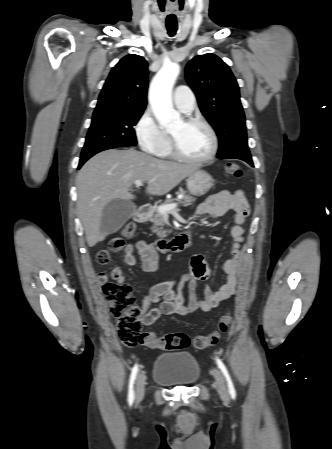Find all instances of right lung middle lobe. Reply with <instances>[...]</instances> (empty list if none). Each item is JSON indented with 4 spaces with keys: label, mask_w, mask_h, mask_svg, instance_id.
Here are the masks:
<instances>
[{
    "label": "right lung middle lobe",
    "mask_w": 332,
    "mask_h": 449,
    "mask_svg": "<svg viewBox=\"0 0 332 449\" xmlns=\"http://www.w3.org/2000/svg\"><path fill=\"white\" fill-rule=\"evenodd\" d=\"M143 111H117L95 114L81 155L105 147H128L137 144L134 125Z\"/></svg>",
    "instance_id": "obj_1"
}]
</instances>
